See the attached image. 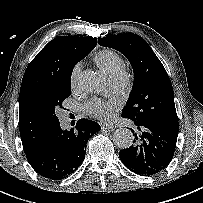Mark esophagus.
<instances>
[{"instance_id":"obj_1","label":"esophagus","mask_w":203,"mask_h":203,"mask_svg":"<svg viewBox=\"0 0 203 203\" xmlns=\"http://www.w3.org/2000/svg\"><path fill=\"white\" fill-rule=\"evenodd\" d=\"M101 128L102 129H108V130H114L115 126L110 123H101Z\"/></svg>"}]
</instances>
